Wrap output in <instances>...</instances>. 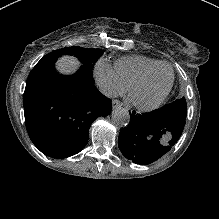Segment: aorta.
I'll return each instance as SVG.
<instances>
[{"label":"aorta","instance_id":"762f6f07","mask_svg":"<svg viewBox=\"0 0 219 219\" xmlns=\"http://www.w3.org/2000/svg\"><path fill=\"white\" fill-rule=\"evenodd\" d=\"M111 120L115 126L124 127L130 122V114L125 108L119 107L112 111Z\"/></svg>","mask_w":219,"mask_h":219}]
</instances>
